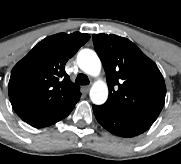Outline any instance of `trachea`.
<instances>
[{"mask_svg": "<svg viewBox=\"0 0 181 164\" xmlns=\"http://www.w3.org/2000/svg\"><path fill=\"white\" fill-rule=\"evenodd\" d=\"M75 82L79 85H87L89 84V79L86 75L80 73L77 75Z\"/></svg>", "mask_w": 181, "mask_h": 164, "instance_id": "obj_1", "label": "trachea"}]
</instances>
